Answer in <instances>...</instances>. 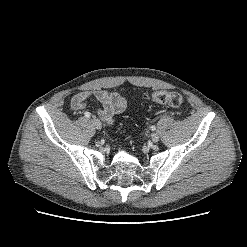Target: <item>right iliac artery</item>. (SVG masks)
Returning a JSON list of instances; mask_svg holds the SVG:
<instances>
[{"mask_svg":"<svg viewBox=\"0 0 247 247\" xmlns=\"http://www.w3.org/2000/svg\"><path fill=\"white\" fill-rule=\"evenodd\" d=\"M85 117L89 118L91 116V114L89 112H85Z\"/></svg>","mask_w":247,"mask_h":247,"instance_id":"1","label":"right iliac artery"}]
</instances>
